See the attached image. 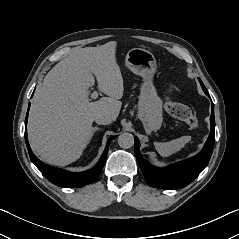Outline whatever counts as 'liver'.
Returning a JSON list of instances; mask_svg holds the SVG:
<instances>
[{
	"label": "liver",
	"instance_id": "obj_1",
	"mask_svg": "<svg viewBox=\"0 0 239 239\" xmlns=\"http://www.w3.org/2000/svg\"><path fill=\"white\" fill-rule=\"evenodd\" d=\"M117 43L74 50L44 77L31 104L28 137L45 162L68 165L83 153L92 138L97 114L119 115L124 86L116 61ZM96 77L98 89L109 97L90 102L88 90Z\"/></svg>",
	"mask_w": 239,
	"mask_h": 239
}]
</instances>
